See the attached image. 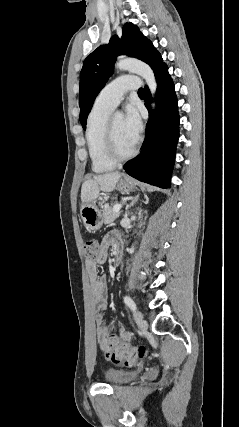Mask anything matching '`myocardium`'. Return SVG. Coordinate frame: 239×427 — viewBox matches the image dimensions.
Wrapping results in <instances>:
<instances>
[{"instance_id": "obj_1", "label": "myocardium", "mask_w": 239, "mask_h": 427, "mask_svg": "<svg viewBox=\"0 0 239 427\" xmlns=\"http://www.w3.org/2000/svg\"><path fill=\"white\" fill-rule=\"evenodd\" d=\"M113 117H109L105 127L104 149L106 156L114 163H120L132 158L137 152V144L135 143L131 151L125 154L118 152L114 139L113 132Z\"/></svg>"}]
</instances>
